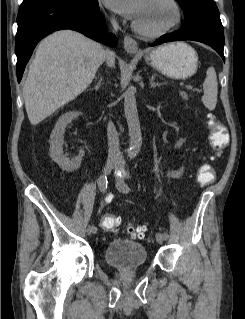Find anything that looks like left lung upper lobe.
Masks as SVG:
<instances>
[{"mask_svg":"<svg viewBox=\"0 0 245 319\" xmlns=\"http://www.w3.org/2000/svg\"><path fill=\"white\" fill-rule=\"evenodd\" d=\"M177 2L185 14L182 27L203 25L224 33L219 10L213 0H177Z\"/></svg>","mask_w":245,"mask_h":319,"instance_id":"obj_1","label":"left lung upper lobe"}]
</instances>
